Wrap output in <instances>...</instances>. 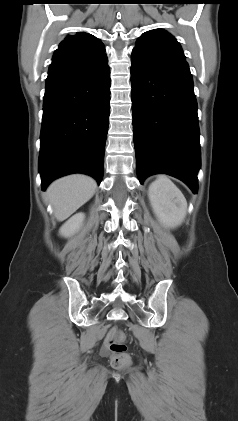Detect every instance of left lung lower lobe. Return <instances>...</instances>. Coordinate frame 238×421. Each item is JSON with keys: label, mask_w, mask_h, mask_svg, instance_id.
<instances>
[{"label": "left lung lower lobe", "mask_w": 238, "mask_h": 421, "mask_svg": "<svg viewBox=\"0 0 238 421\" xmlns=\"http://www.w3.org/2000/svg\"><path fill=\"white\" fill-rule=\"evenodd\" d=\"M131 98L140 183L164 173L197 192L199 127L193 79L185 56L131 55Z\"/></svg>", "instance_id": "0a47b994"}]
</instances>
